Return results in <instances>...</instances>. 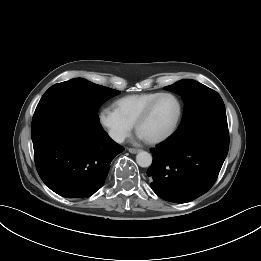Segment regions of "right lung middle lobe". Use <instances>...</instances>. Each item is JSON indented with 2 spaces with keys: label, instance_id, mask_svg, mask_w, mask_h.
<instances>
[{
  "label": "right lung middle lobe",
  "instance_id": "right-lung-middle-lobe-1",
  "mask_svg": "<svg viewBox=\"0 0 261 261\" xmlns=\"http://www.w3.org/2000/svg\"><path fill=\"white\" fill-rule=\"evenodd\" d=\"M120 92L94 84L82 78L58 83L42 96L35 110L32 124L56 114H69L99 122L98 109L103 102Z\"/></svg>",
  "mask_w": 261,
  "mask_h": 261
}]
</instances>
